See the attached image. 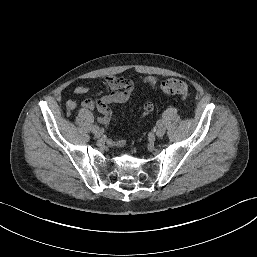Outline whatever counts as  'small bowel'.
I'll return each instance as SVG.
<instances>
[{"label":"small bowel","mask_w":257,"mask_h":257,"mask_svg":"<svg viewBox=\"0 0 257 257\" xmlns=\"http://www.w3.org/2000/svg\"><path fill=\"white\" fill-rule=\"evenodd\" d=\"M105 81L108 87L111 89V93L101 98L85 99L81 104L85 109L97 110L101 114L98 120L102 124H107L111 119L112 111L110 109V105L113 103H124L128 101L135 87L133 80L119 78L114 75L107 76ZM141 83L150 87H154L159 83V79L156 76H147L141 80ZM89 90L90 88L88 85L81 84L74 88V93L77 95H82L89 92ZM76 106V99L71 98L67 100L66 107L69 110L75 109ZM153 110L154 105L151 102L145 103L140 120L150 115ZM111 144L114 146H122L124 141L120 140L111 142Z\"/></svg>","instance_id":"c3829d8e"}]
</instances>
